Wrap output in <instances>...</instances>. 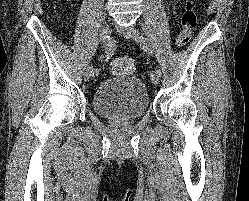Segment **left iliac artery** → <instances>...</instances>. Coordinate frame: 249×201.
<instances>
[{
    "label": "left iliac artery",
    "mask_w": 249,
    "mask_h": 201,
    "mask_svg": "<svg viewBox=\"0 0 249 201\" xmlns=\"http://www.w3.org/2000/svg\"><path fill=\"white\" fill-rule=\"evenodd\" d=\"M139 43H140L142 49H144L145 51H148L149 53H152V49L150 47V43H149V40L147 38L140 36ZM156 72L159 76H161L160 69H157Z\"/></svg>",
    "instance_id": "44dca946"
}]
</instances>
